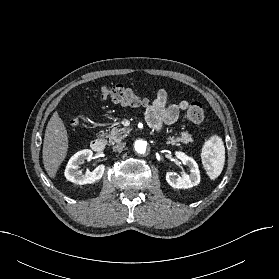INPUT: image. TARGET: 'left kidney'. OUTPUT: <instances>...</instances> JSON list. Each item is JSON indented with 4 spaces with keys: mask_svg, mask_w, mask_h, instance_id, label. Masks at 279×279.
Segmentation results:
<instances>
[{
    "mask_svg": "<svg viewBox=\"0 0 279 279\" xmlns=\"http://www.w3.org/2000/svg\"><path fill=\"white\" fill-rule=\"evenodd\" d=\"M176 157L181 160L184 165L189 167V174L184 173L181 177L176 178L174 173H166L167 183L176 189H188L196 186L200 182V171L196 161L185 155L183 152H176Z\"/></svg>",
    "mask_w": 279,
    "mask_h": 279,
    "instance_id": "left-kidney-1",
    "label": "left kidney"
}]
</instances>
